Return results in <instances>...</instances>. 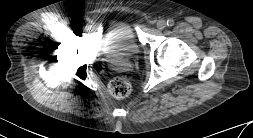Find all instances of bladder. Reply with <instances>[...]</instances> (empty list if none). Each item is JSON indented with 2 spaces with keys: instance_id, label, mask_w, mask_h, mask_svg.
<instances>
[{
  "instance_id": "obj_1",
  "label": "bladder",
  "mask_w": 253,
  "mask_h": 138,
  "mask_svg": "<svg viewBox=\"0 0 253 138\" xmlns=\"http://www.w3.org/2000/svg\"><path fill=\"white\" fill-rule=\"evenodd\" d=\"M141 46L134 27L128 23H117L109 26L103 33L99 50L117 62L128 61L136 57Z\"/></svg>"
}]
</instances>
